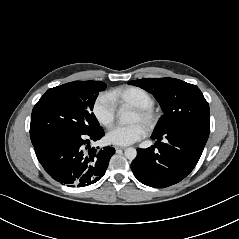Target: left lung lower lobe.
<instances>
[{
  "mask_svg": "<svg viewBox=\"0 0 239 239\" xmlns=\"http://www.w3.org/2000/svg\"><path fill=\"white\" fill-rule=\"evenodd\" d=\"M209 132L200 127H180L153 133L156 143L147 149H137L131 164L133 174L141 183L156 188L180 182L196 166ZM163 137L167 143L161 142Z\"/></svg>",
  "mask_w": 239,
  "mask_h": 239,
  "instance_id": "left-lung-lower-lobe-1",
  "label": "left lung lower lobe"
}]
</instances>
